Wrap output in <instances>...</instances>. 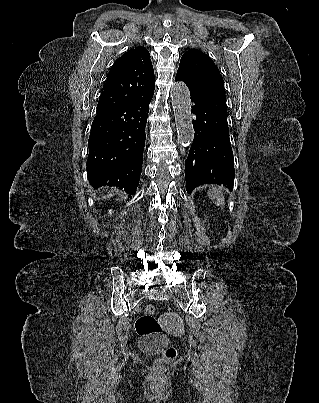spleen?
I'll return each mask as SVG.
<instances>
[{"instance_id": "3e777b00", "label": "spleen", "mask_w": 319, "mask_h": 403, "mask_svg": "<svg viewBox=\"0 0 319 403\" xmlns=\"http://www.w3.org/2000/svg\"><path fill=\"white\" fill-rule=\"evenodd\" d=\"M208 196L217 206H221L222 208L224 207L225 199L223 192L220 189L215 187L211 188L208 191Z\"/></svg>"}]
</instances>
